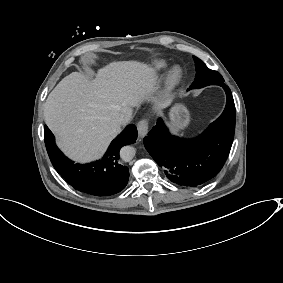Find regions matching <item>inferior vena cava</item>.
Here are the masks:
<instances>
[{
  "mask_svg": "<svg viewBox=\"0 0 283 283\" xmlns=\"http://www.w3.org/2000/svg\"><path fill=\"white\" fill-rule=\"evenodd\" d=\"M128 122H129V120H128L125 116H121V117L119 118V123H120L121 125H126Z\"/></svg>",
  "mask_w": 283,
  "mask_h": 283,
  "instance_id": "inferior-vena-cava-1",
  "label": "inferior vena cava"
}]
</instances>
